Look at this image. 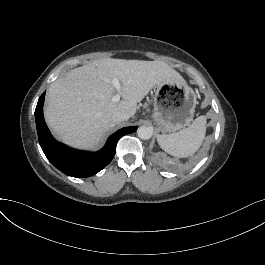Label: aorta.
I'll return each mask as SVG.
<instances>
[{
    "label": "aorta",
    "mask_w": 265,
    "mask_h": 265,
    "mask_svg": "<svg viewBox=\"0 0 265 265\" xmlns=\"http://www.w3.org/2000/svg\"><path fill=\"white\" fill-rule=\"evenodd\" d=\"M138 137L143 140H148L153 135V129L147 126H141L137 130Z\"/></svg>",
    "instance_id": "762f6f07"
}]
</instances>
